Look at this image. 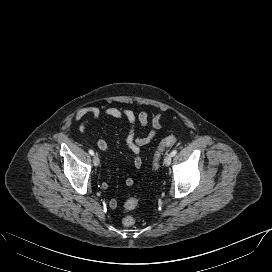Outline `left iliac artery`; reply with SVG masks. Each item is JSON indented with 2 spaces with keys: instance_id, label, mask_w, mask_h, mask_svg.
<instances>
[{
  "instance_id": "obj_1",
  "label": "left iliac artery",
  "mask_w": 272,
  "mask_h": 272,
  "mask_svg": "<svg viewBox=\"0 0 272 272\" xmlns=\"http://www.w3.org/2000/svg\"><path fill=\"white\" fill-rule=\"evenodd\" d=\"M176 154H177V150L174 149V150L171 152V156L173 157V156H175Z\"/></svg>"
}]
</instances>
